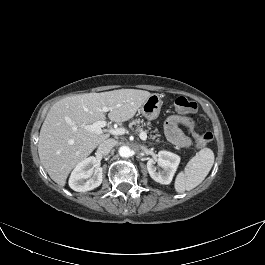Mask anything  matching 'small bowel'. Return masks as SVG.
Here are the masks:
<instances>
[{
	"label": "small bowel",
	"instance_id": "obj_1",
	"mask_svg": "<svg viewBox=\"0 0 265 265\" xmlns=\"http://www.w3.org/2000/svg\"><path fill=\"white\" fill-rule=\"evenodd\" d=\"M180 125L191 126L190 121L187 116L183 115H172L170 116L165 123V133L167 138L174 145L184 148L188 147L191 144V140L187 137L182 130Z\"/></svg>",
	"mask_w": 265,
	"mask_h": 265
}]
</instances>
